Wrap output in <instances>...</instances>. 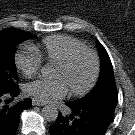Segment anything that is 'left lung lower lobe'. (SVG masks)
Here are the masks:
<instances>
[{"label":"left lung lower lobe","instance_id":"1","mask_svg":"<svg viewBox=\"0 0 135 135\" xmlns=\"http://www.w3.org/2000/svg\"><path fill=\"white\" fill-rule=\"evenodd\" d=\"M117 104V103H116ZM114 102L75 104L68 102L71 114L59 113L55 124L50 126L51 135H104L114 116Z\"/></svg>","mask_w":135,"mask_h":135}]
</instances>
